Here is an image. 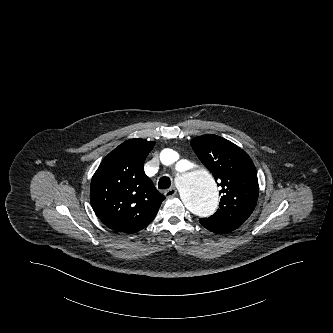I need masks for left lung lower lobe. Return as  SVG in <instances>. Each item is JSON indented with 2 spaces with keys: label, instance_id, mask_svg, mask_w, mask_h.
<instances>
[{
  "label": "left lung lower lobe",
  "instance_id": "obj_1",
  "mask_svg": "<svg viewBox=\"0 0 333 333\" xmlns=\"http://www.w3.org/2000/svg\"><path fill=\"white\" fill-rule=\"evenodd\" d=\"M210 231H213V232H215V233H221V232H217V231H214V230H210Z\"/></svg>",
  "mask_w": 333,
  "mask_h": 333
}]
</instances>
